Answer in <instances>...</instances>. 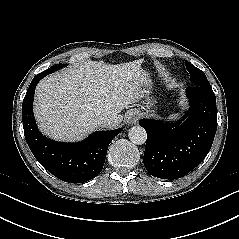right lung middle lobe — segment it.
<instances>
[{
    "label": "right lung middle lobe",
    "mask_w": 239,
    "mask_h": 239,
    "mask_svg": "<svg viewBox=\"0 0 239 239\" xmlns=\"http://www.w3.org/2000/svg\"><path fill=\"white\" fill-rule=\"evenodd\" d=\"M67 64H56V65H53L52 67H50L49 69L45 70L46 72H48L49 74L60 69V68H63V67H66Z\"/></svg>",
    "instance_id": "dd1d6c3e"
}]
</instances>
